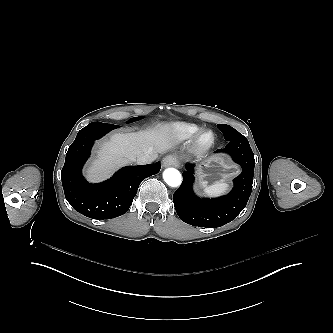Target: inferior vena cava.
<instances>
[{
  "label": "inferior vena cava",
  "mask_w": 333,
  "mask_h": 333,
  "mask_svg": "<svg viewBox=\"0 0 333 333\" xmlns=\"http://www.w3.org/2000/svg\"><path fill=\"white\" fill-rule=\"evenodd\" d=\"M154 160H155V158L152 157L150 154H143L136 158V163L138 165H144V164H149Z\"/></svg>",
  "instance_id": "1"
}]
</instances>
